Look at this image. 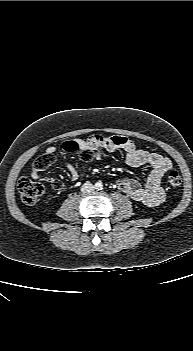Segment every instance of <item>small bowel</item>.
I'll use <instances>...</instances> for the list:
<instances>
[{"label":"small bowel","instance_id":"1","mask_svg":"<svg viewBox=\"0 0 193 351\" xmlns=\"http://www.w3.org/2000/svg\"><path fill=\"white\" fill-rule=\"evenodd\" d=\"M58 151L61 154L78 153L80 150L90 149L94 152L97 159L101 157L103 150L114 151L121 149L126 154V163L131 167L148 166L151 171L147 177L145 186H142L137 180L132 178L121 179L117 182L119 190L132 200L139 202L148 207H154L162 203L165 199V192L161 186L165 173L172 167L170 159L161 154L148 152L137 148L135 143L125 136H102L94 135L90 138L61 141L58 144ZM56 146H48L45 153H55ZM71 180L78 182L83 178L76 167L66 162ZM33 179L39 177V171L33 168L30 171ZM46 180L53 184L55 181L52 177Z\"/></svg>","mask_w":193,"mask_h":351}]
</instances>
